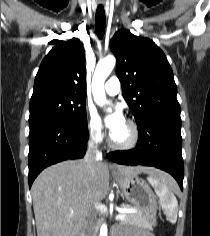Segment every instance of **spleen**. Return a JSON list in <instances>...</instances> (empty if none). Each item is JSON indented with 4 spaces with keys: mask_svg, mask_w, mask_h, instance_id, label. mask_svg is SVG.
<instances>
[{
    "mask_svg": "<svg viewBox=\"0 0 210 236\" xmlns=\"http://www.w3.org/2000/svg\"><path fill=\"white\" fill-rule=\"evenodd\" d=\"M147 179L159 197L160 205L167 219L171 223H175L177 220L178 202L172 191L173 180L153 175H150Z\"/></svg>",
    "mask_w": 210,
    "mask_h": 236,
    "instance_id": "obj_1",
    "label": "spleen"
}]
</instances>
